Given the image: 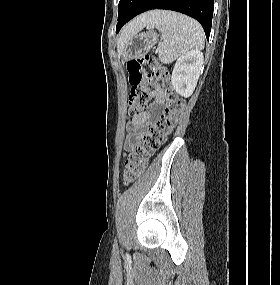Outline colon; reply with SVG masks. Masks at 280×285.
<instances>
[{
  "label": "colon",
  "mask_w": 280,
  "mask_h": 285,
  "mask_svg": "<svg viewBox=\"0 0 280 285\" xmlns=\"http://www.w3.org/2000/svg\"><path fill=\"white\" fill-rule=\"evenodd\" d=\"M145 66L150 69L146 71ZM128 81L131 87L128 114L136 115L148 105L152 85L160 82L166 92V108L159 120L139 139L125 161L123 178L129 184L136 181L146 168L149 157L172 134L185 107V102L171 87L169 72L155 59L146 57L128 62Z\"/></svg>",
  "instance_id": "5ec220e1"
}]
</instances>
